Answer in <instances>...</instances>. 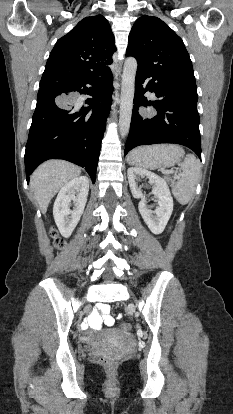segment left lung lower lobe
Listing matches in <instances>:
<instances>
[{
  "mask_svg": "<svg viewBox=\"0 0 233 414\" xmlns=\"http://www.w3.org/2000/svg\"><path fill=\"white\" fill-rule=\"evenodd\" d=\"M152 80L145 85V80ZM156 92V101H148L146 91ZM197 87L190 83L161 81L138 70L135 78V96L129 136L125 145L126 155L140 145L175 143L192 149L201 159ZM153 106L154 117H142L139 107Z\"/></svg>",
  "mask_w": 233,
  "mask_h": 414,
  "instance_id": "obj_1",
  "label": "left lung lower lobe"
}]
</instances>
